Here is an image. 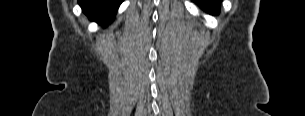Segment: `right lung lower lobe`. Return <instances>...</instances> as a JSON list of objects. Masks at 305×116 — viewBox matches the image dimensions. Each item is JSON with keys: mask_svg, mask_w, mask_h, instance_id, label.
Instances as JSON below:
<instances>
[{"mask_svg": "<svg viewBox=\"0 0 305 116\" xmlns=\"http://www.w3.org/2000/svg\"><path fill=\"white\" fill-rule=\"evenodd\" d=\"M82 11L99 24L111 22L123 0H79Z\"/></svg>", "mask_w": 305, "mask_h": 116, "instance_id": "obj_1", "label": "right lung lower lobe"}]
</instances>
